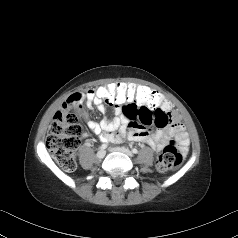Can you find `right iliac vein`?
<instances>
[{
	"mask_svg": "<svg viewBox=\"0 0 238 238\" xmlns=\"http://www.w3.org/2000/svg\"><path fill=\"white\" fill-rule=\"evenodd\" d=\"M105 154H106V151L103 150V149H101V150H99V151L97 152L96 157H97L98 159H102V158H104Z\"/></svg>",
	"mask_w": 238,
	"mask_h": 238,
	"instance_id": "1",
	"label": "right iliac vein"
}]
</instances>
